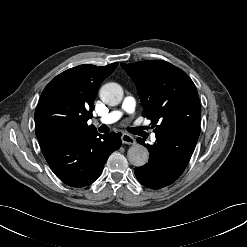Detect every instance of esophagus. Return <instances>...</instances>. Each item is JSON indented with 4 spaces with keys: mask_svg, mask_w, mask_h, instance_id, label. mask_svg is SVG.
<instances>
[{
    "mask_svg": "<svg viewBox=\"0 0 247 247\" xmlns=\"http://www.w3.org/2000/svg\"><path fill=\"white\" fill-rule=\"evenodd\" d=\"M121 140L123 144L134 145L136 143L134 137L126 133L122 134Z\"/></svg>",
    "mask_w": 247,
    "mask_h": 247,
    "instance_id": "esophagus-1",
    "label": "esophagus"
}]
</instances>
